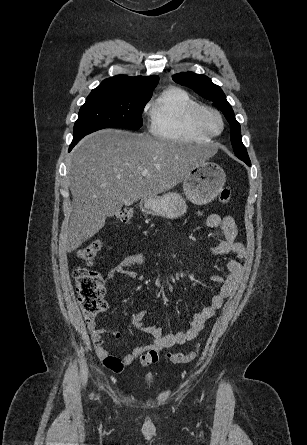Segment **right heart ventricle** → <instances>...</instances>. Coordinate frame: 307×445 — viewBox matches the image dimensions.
Masks as SVG:
<instances>
[{"instance_id": "e07e8e85", "label": "right heart ventricle", "mask_w": 307, "mask_h": 445, "mask_svg": "<svg viewBox=\"0 0 307 445\" xmlns=\"http://www.w3.org/2000/svg\"><path fill=\"white\" fill-rule=\"evenodd\" d=\"M152 134L163 139L210 140L202 124V109L180 89H167L148 100Z\"/></svg>"}]
</instances>
